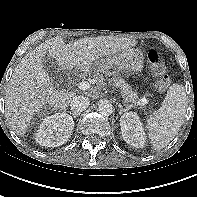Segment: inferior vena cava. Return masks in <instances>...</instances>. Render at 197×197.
I'll return each mask as SVG.
<instances>
[{
    "label": "inferior vena cava",
    "instance_id": "602c4592",
    "mask_svg": "<svg viewBox=\"0 0 197 197\" xmlns=\"http://www.w3.org/2000/svg\"><path fill=\"white\" fill-rule=\"evenodd\" d=\"M89 99L82 95H75L70 101V107L73 113L80 114L82 111L86 110L89 106Z\"/></svg>",
    "mask_w": 197,
    "mask_h": 197
}]
</instances>
